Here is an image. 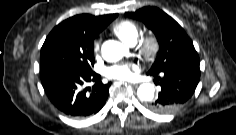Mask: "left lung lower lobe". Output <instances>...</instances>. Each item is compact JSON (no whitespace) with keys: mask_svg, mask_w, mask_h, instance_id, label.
Listing matches in <instances>:
<instances>
[{"mask_svg":"<svg viewBox=\"0 0 236 135\" xmlns=\"http://www.w3.org/2000/svg\"><path fill=\"white\" fill-rule=\"evenodd\" d=\"M199 57L192 59L184 66H175L160 73H150L155 80H160L161 91L158 99L150 103L151 110L157 113H171L183 106L194 94L200 79Z\"/></svg>","mask_w":236,"mask_h":135,"instance_id":"left-lung-lower-lobe-1","label":"left lung lower lobe"}]
</instances>
